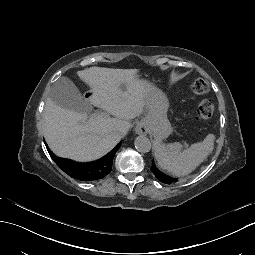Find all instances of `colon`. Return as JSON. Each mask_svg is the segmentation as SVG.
Instances as JSON below:
<instances>
[{
    "mask_svg": "<svg viewBox=\"0 0 255 255\" xmlns=\"http://www.w3.org/2000/svg\"><path fill=\"white\" fill-rule=\"evenodd\" d=\"M209 85L207 81L202 78H196L191 83V90L196 95H203L208 92ZM214 111V103L209 100H203L196 109V116L199 120L209 119Z\"/></svg>",
    "mask_w": 255,
    "mask_h": 255,
    "instance_id": "1",
    "label": "colon"
}]
</instances>
